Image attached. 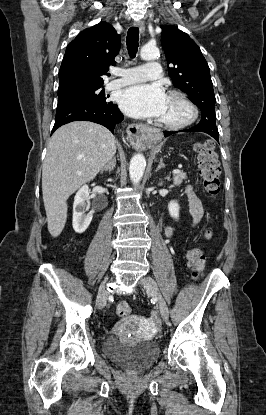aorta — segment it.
Segmentation results:
<instances>
[{
	"label": "aorta",
	"instance_id": "762f6f07",
	"mask_svg": "<svg viewBox=\"0 0 266 415\" xmlns=\"http://www.w3.org/2000/svg\"><path fill=\"white\" fill-rule=\"evenodd\" d=\"M140 56L144 60H154L159 56V49L156 46L145 45L142 47ZM146 161L142 154L132 157L129 166L130 179L134 185H138L145 171Z\"/></svg>",
	"mask_w": 266,
	"mask_h": 415
}]
</instances>
